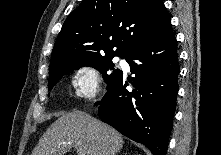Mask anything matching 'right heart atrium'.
Returning <instances> with one entry per match:
<instances>
[{"instance_id":"right-heart-atrium-1","label":"right heart atrium","mask_w":221,"mask_h":155,"mask_svg":"<svg viewBox=\"0 0 221 155\" xmlns=\"http://www.w3.org/2000/svg\"><path fill=\"white\" fill-rule=\"evenodd\" d=\"M71 82L75 96L80 100H93L102 89L100 74L92 66H82L75 70Z\"/></svg>"}]
</instances>
